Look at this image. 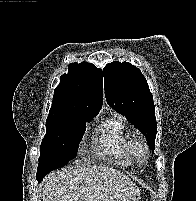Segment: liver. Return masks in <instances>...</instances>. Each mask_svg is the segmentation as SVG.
<instances>
[{
	"label": "liver",
	"instance_id": "1",
	"mask_svg": "<svg viewBox=\"0 0 196 201\" xmlns=\"http://www.w3.org/2000/svg\"><path fill=\"white\" fill-rule=\"evenodd\" d=\"M41 188L44 201H134L138 193L129 177L102 165L53 171Z\"/></svg>",
	"mask_w": 196,
	"mask_h": 201
}]
</instances>
